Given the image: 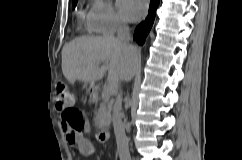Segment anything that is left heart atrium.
Instances as JSON below:
<instances>
[{
    "instance_id": "39dd6f15",
    "label": "left heart atrium",
    "mask_w": 242,
    "mask_h": 160,
    "mask_svg": "<svg viewBox=\"0 0 242 160\" xmlns=\"http://www.w3.org/2000/svg\"><path fill=\"white\" fill-rule=\"evenodd\" d=\"M117 7L127 21L133 22L145 15L148 9V0H117Z\"/></svg>"
}]
</instances>
